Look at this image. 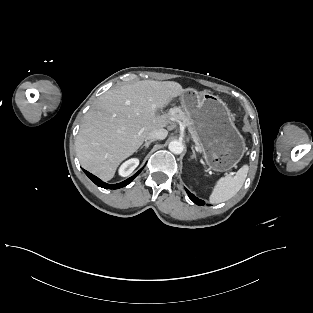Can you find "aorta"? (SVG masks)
<instances>
[{
  "label": "aorta",
  "mask_w": 313,
  "mask_h": 313,
  "mask_svg": "<svg viewBox=\"0 0 313 313\" xmlns=\"http://www.w3.org/2000/svg\"><path fill=\"white\" fill-rule=\"evenodd\" d=\"M183 149L184 146L180 141L174 140L169 143V150L174 154H181Z\"/></svg>",
  "instance_id": "762f6f07"
}]
</instances>
